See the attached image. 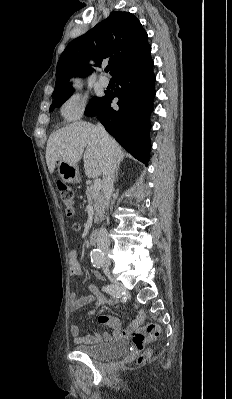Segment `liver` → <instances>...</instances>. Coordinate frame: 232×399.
<instances>
[{
    "label": "liver",
    "mask_w": 232,
    "mask_h": 399,
    "mask_svg": "<svg viewBox=\"0 0 232 399\" xmlns=\"http://www.w3.org/2000/svg\"><path fill=\"white\" fill-rule=\"evenodd\" d=\"M105 144L97 126L89 122H73L49 136L46 148V162L50 174H53L56 162H67L77 166L83 158L87 178L102 176L110 150H113L117 164L124 160V154L117 142ZM86 148V150H85Z\"/></svg>",
    "instance_id": "liver-1"
}]
</instances>
